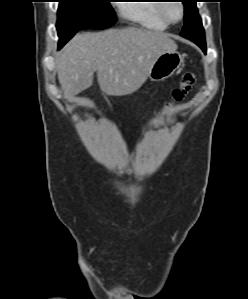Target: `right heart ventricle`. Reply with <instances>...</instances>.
Returning a JSON list of instances; mask_svg holds the SVG:
<instances>
[{"label": "right heart ventricle", "instance_id": "e07e8e85", "mask_svg": "<svg viewBox=\"0 0 248 299\" xmlns=\"http://www.w3.org/2000/svg\"><path fill=\"white\" fill-rule=\"evenodd\" d=\"M139 3H126L121 6V14L145 28L164 31L168 24L161 18L159 0H141Z\"/></svg>", "mask_w": 248, "mask_h": 299}]
</instances>
